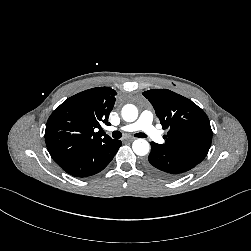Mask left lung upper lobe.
I'll return each mask as SVG.
<instances>
[{
	"label": "left lung upper lobe",
	"instance_id": "left-lung-upper-lobe-1",
	"mask_svg": "<svg viewBox=\"0 0 251 251\" xmlns=\"http://www.w3.org/2000/svg\"><path fill=\"white\" fill-rule=\"evenodd\" d=\"M143 95L153 105L162 127L169 128L161 147L193 157H206L212 130L205 112L191 100L167 89H152Z\"/></svg>",
	"mask_w": 251,
	"mask_h": 251
}]
</instances>
